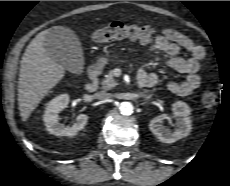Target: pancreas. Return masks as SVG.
Masks as SVG:
<instances>
[{
	"instance_id": "cf45deb5",
	"label": "pancreas",
	"mask_w": 230,
	"mask_h": 186,
	"mask_svg": "<svg viewBox=\"0 0 230 186\" xmlns=\"http://www.w3.org/2000/svg\"><path fill=\"white\" fill-rule=\"evenodd\" d=\"M117 85L114 76L113 70H110L107 75H105V79L101 82V87L104 91L114 88Z\"/></svg>"
}]
</instances>
